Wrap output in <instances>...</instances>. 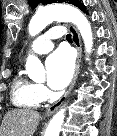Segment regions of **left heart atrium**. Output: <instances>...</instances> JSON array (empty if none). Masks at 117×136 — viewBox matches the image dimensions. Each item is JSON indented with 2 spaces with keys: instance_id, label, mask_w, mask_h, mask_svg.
I'll use <instances>...</instances> for the list:
<instances>
[{
  "instance_id": "obj_1",
  "label": "left heart atrium",
  "mask_w": 117,
  "mask_h": 136,
  "mask_svg": "<svg viewBox=\"0 0 117 136\" xmlns=\"http://www.w3.org/2000/svg\"><path fill=\"white\" fill-rule=\"evenodd\" d=\"M74 56L67 48H59L46 60L47 82L54 90L65 88L74 72Z\"/></svg>"
}]
</instances>
